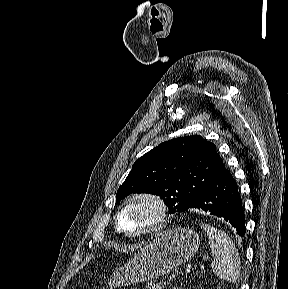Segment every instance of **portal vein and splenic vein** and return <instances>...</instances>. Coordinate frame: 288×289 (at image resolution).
<instances>
[{"label":"portal vein and splenic vein","mask_w":288,"mask_h":289,"mask_svg":"<svg viewBox=\"0 0 288 289\" xmlns=\"http://www.w3.org/2000/svg\"><path fill=\"white\" fill-rule=\"evenodd\" d=\"M175 275H176V273L171 274L168 278V281L170 282L174 278Z\"/></svg>","instance_id":"portal-vein-and-splenic-vein-1"}]
</instances>
